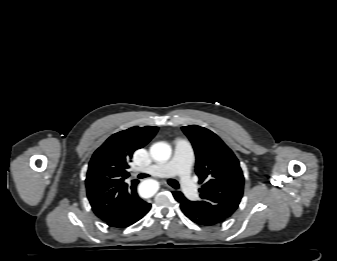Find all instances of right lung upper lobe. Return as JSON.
Segmentation results:
<instances>
[{
    "label": "right lung upper lobe",
    "mask_w": 337,
    "mask_h": 261,
    "mask_svg": "<svg viewBox=\"0 0 337 261\" xmlns=\"http://www.w3.org/2000/svg\"><path fill=\"white\" fill-rule=\"evenodd\" d=\"M158 127H132L109 137L89 163L86 189L92 210L102 220L119 213L123 203L136 193L138 180L126 183L128 162L135 150L144 147Z\"/></svg>",
    "instance_id": "obj_1"
}]
</instances>
